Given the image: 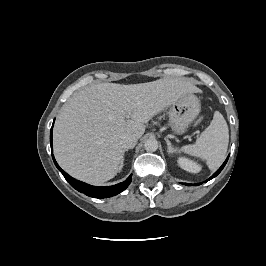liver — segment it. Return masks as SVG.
<instances>
[{"label": "liver", "instance_id": "1", "mask_svg": "<svg viewBox=\"0 0 266 266\" xmlns=\"http://www.w3.org/2000/svg\"><path fill=\"white\" fill-rule=\"evenodd\" d=\"M198 92L181 78L121 85L100 83L73 94L54 126V154L72 177L98 185L120 172L125 134L137 138L145 123L182 96Z\"/></svg>", "mask_w": 266, "mask_h": 266}]
</instances>
